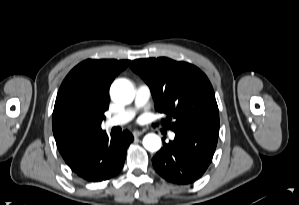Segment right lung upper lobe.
I'll return each mask as SVG.
<instances>
[{"instance_id": "1", "label": "right lung upper lobe", "mask_w": 299, "mask_h": 205, "mask_svg": "<svg viewBox=\"0 0 299 205\" xmlns=\"http://www.w3.org/2000/svg\"><path fill=\"white\" fill-rule=\"evenodd\" d=\"M129 60H86L74 67L57 94L52 127L65 162L87 143L105 135L101 129L109 108V88Z\"/></svg>"}]
</instances>
